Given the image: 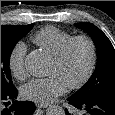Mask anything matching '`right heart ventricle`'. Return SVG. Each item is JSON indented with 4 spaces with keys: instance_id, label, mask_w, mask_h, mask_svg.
I'll use <instances>...</instances> for the list:
<instances>
[{
    "instance_id": "1",
    "label": "right heart ventricle",
    "mask_w": 115,
    "mask_h": 115,
    "mask_svg": "<svg viewBox=\"0 0 115 115\" xmlns=\"http://www.w3.org/2000/svg\"><path fill=\"white\" fill-rule=\"evenodd\" d=\"M72 37L73 35L67 31L55 26H47L34 35L33 42L48 55L54 57L61 47Z\"/></svg>"
}]
</instances>
